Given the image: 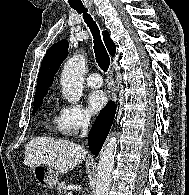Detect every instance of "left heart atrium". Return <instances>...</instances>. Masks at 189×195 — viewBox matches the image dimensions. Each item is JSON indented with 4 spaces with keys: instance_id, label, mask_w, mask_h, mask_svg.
I'll list each match as a JSON object with an SVG mask.
<instances>
[{
    "instance_id": "1",
    "label": "left heart atrium",
    "mask_w": 189,
    "mask_h": 195,
    "mask_svg": "<svg viewBox=\"0 0 189 195\" xmlns=\"http://www.w3.org/2000/svg\"><path fill=\"white\" fill-rule=\"evenodd\" d=\"M87 105L91 113L101 110L107 101V96L102 90H93L87 95Z\"/></svg>"
}]
</instances>
